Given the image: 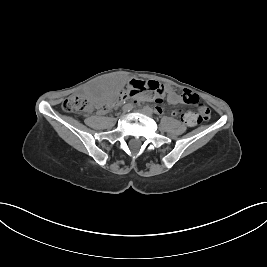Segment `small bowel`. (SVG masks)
Wrapping results in <instances>:
<instances>
[{
	"label": "small bowel",
	"instance_id": "obj_1",
	"mask_svg": "<svg viewBox=\"0 0 267 267\" xmlns=\"http://www.w3.org/2000/svg\"><path fill=\"white\" fill-rule=\"evenodd\" d=\"M167 90V101L172 104V105H177L183 102L182 100V95L178 94L172 87L170 86H166L165 87ZM112 88L108 87L102 98L99 100L98 102V106H99V112L100 113H107V109L108 107H105V104L108 102V100L112 97ZM157 109L159 111H162V109L160 107H157ZM174 115H180L181 120L186 123L188 126H194L196 124H198V120L195 116V113L193 112H188V113H181L180 111H174Z\"/></svg>",
	"mask_w": 267,
	"mask_h": 267
}]
</instances>
